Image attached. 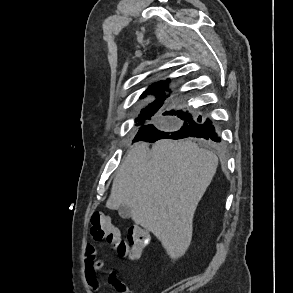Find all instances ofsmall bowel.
<instances>
[{"label": "small bowel", "instance_id": "c3829d8e", "mask_svg": "<svg viewBox=\"0 0 293 293\" xmlns=\"http://www.w3.org/2000/svg\"><path fill=\"white\" fill-rule=\"evenodd\" d=\"M85 250V280L91 293H100V285L97 277V272L104 268V260L96 257V248L92 243H87ZM108 282L117 293H129L128 286L117 278L116 273L114 271L109 272Z\"/></svg>", "mask_w": 293, "mask_h": 293}]
</instances>
